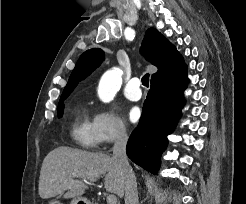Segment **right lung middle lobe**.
<instances>
[{
    "instance_id": "1",
    "label": "right lung middle lobe",
    "mask_w": 246,
    "mask_h": 204,
    "mask_svg": "<svg viewBox=\"0 0 246 204\" xmlns=\"http://www.w3.org/2000/svg\"><path fill=\"white\" fill-rule=\"evenodd\" d=\"M67 97H62L60 98V102H59V105H58V117H61L62 114H63V101L66 99Z\"/></svg>"
}]
</instances>
